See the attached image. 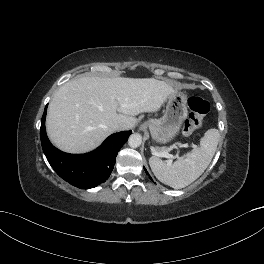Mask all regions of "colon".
Masks as SVG:
<instances>
[{
    "label": "colon",
    "mask_w": 264,
    "mask_h": 264,
    "mask_svg": "<svg viewBox=\"0 0 264 264\" xmlns=\"http://www.w3.org/2000/svg\"><path fill=\"white\" fill-rule=\"evenodd\" d=\"M189 115L183 120L182 134L190 135L197 130L203 122L204 117L209 112V103L198 97L192 96L188 99Z\"/></svg>",
    "instance_id": "5ec220e1"
}]
</instances>
